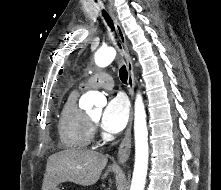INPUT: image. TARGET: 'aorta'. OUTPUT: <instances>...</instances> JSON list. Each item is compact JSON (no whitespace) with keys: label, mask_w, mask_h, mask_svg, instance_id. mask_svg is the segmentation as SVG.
Here are the masks:
<instances>
[{"label":"aorta","mask_w":221,"mask_h":190,"mask_svg":"<svg viewBox=\"0 0 221 190\" xmlns=\"http://www.w3.org/2000/svg\"><path fill=\"white\" fill-rule=\"evenodd\" d=\"M116 57L112 47L99 49L95 53V63L99 67H106ZM90 105H104L106 99L98 92L89 91L84 96ZM134 137H135V164L130 190H144L148 170V129L146 122L145 106L141 94H137L134 106Z\"/></svg>","instance_id":"obj_1"}]
</instances>
